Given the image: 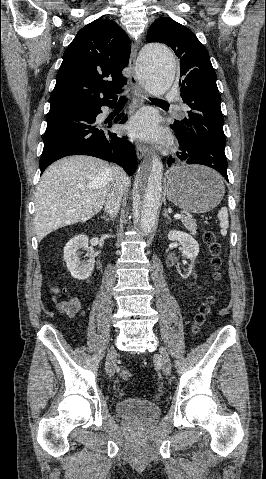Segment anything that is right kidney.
<instances>
[{
  "label": "right kidney",
  "mask_w": 266,
  "mask_h": 479,
  "mask_svg": "<svg viewBox=\"0 0 266 479\" xmlns=\"http://www.w3.org/2000/svg\"><path fill=\"white\" fill-rule=\"evenodd\" d=\"M87 251L89 259L81 261L79 258V250ZM64 260L71 276L77 280H86L92 273L95 259L89 251L88 237L86 235H78L67 242L64 247Z\"/></svg>",
  "instance_id": "right-kidney-1"
}]
</instances>
